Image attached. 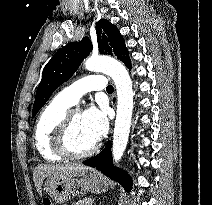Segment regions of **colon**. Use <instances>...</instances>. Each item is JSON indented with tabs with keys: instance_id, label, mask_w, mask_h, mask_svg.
<instances>
[{
	"instance_id": "obj_1",
	"label": "colon",
	"mask_w": 212,
	"mask_h": 205,
	"mask_svg": "<svg viewBox=\"0 0 212 205\" xmlns=\"http://www.w3.org/2000/svg\"><path fill=\"white\" fill-rule=\"evenodd\" d=\"M43 205H53V203H52L50 200L45 199V200L43 201Z\"/></svg>"
}]
</instances>
